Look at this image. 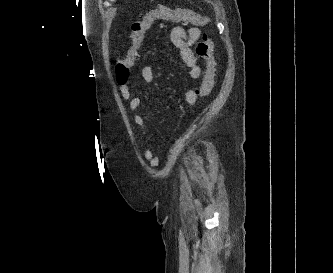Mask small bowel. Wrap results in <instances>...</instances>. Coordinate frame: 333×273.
<instances>
[{
    "label": "small bowel",
    "mask_w": 333,
    "mask_h": 273,
    "mask_svg": "<svg viewBox=\"0 0 333 273\" xmlns=\"http://www.w3.org/2000/svg\"><path fill=\"white\" fill-rule=\"evenodd\" d=\"M160 29H169L171 34V40L173 44L180 50L183 61L189 69V75L192 79H198L201 75V67L199 64V57L194 51V47L201 36V31L197 26H192L188 29L177 25L169 28L167 24H161ZM128 50L127 54L129 53ZM138 56V52L136 54ZM135 63V62H134ZM133 63V65H134ZM141 77L144 82L150 83L154 79V74L151 67L144 65L140 70ZM120 92L122 97L128 102V109L132 116L133 122L139 128L144 136L147 134V128L143 117L138 113V107L140 104V98L133 95L130 91L129 83L120 84ZM198 98L197 90L189 89L185 94V106L187 108L192 107ZM145 160L151 165L158 164V158L154 156L151 149H147L144 152Z\"/></svg>",
    "instance_id": "small-bowel-1"
}]
</instances>
